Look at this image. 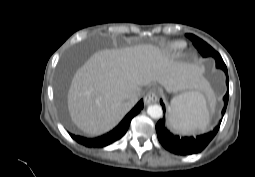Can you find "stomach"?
<instances>
[{"label":"stomach","instance_id":"0dacf381","mask_svg":"<svg viewBox=\"0 0 255 177\" xmlns=\"http://www.w3.org/2000/svg\"><path fill=\"white\" fill-rule=\"evenodd\" d=\"M191 93H193V92H187V93H184V94H182V95H187V94H191Z\"/></svg>","mask_w":255,"mask_h":177}]
</instances>
